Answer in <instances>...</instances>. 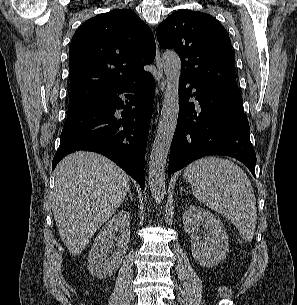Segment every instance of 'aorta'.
<instances>
[{
	"mask_svg": "<svg viewBox=\"0 0 297 305\" xmlns=\"http://www.w3.org/2000/svg\"><path fill=\"white\" fill-rule=\"evenodd\" d=\"M166 90L149 160V187L153 199L160 203L166 193L165 168L179 113V79L181 60L174 51L162 56Z\"/></svg>",
	"mask_w": 297,
	"mask_h": 305,
	"instance_id": "obj_1",
	"label": "aorta"
}]
</instances>
